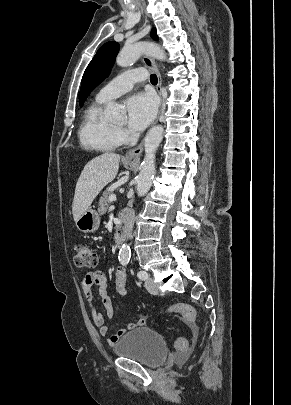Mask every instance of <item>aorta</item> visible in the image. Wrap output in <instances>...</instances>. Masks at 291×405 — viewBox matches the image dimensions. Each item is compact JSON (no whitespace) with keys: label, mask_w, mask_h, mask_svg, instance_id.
Here are the masks:
<instances>
[{"label":"aorta","mask_w":291,"mask_h":405,"mask_svg":"<svg viewBox=\"0 0 291 405\" xmlns=\"http://www.w3.org/2000/svg\"><path fill=\"white\" fill-rule=\"evenodd\" d=\"M142 54H148L158 60L164 61L166 54L157 44L152 42H136L124 47L116 58L121 67H127L136 62ZM125 116V110L117 103H110L106 107V118L111 121L121 120ZM163 139V127H152L144 139L145 156L141 163V171L136 182L137 195L147 194L152 185L155 174V154ZM131 256L130 246L123 244L119 251V261H128Z\"/></svg>","instance_id":"aorta-1"}]
</instances>
